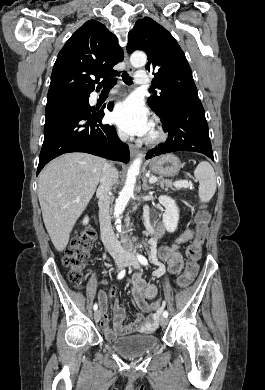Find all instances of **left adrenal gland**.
Returning <instances> with one entry per match:
<instances>
[{"label":"left adrenal gland","instance_id":"obj_1","mask_svg":"<svg viewBox=\"0 0 265 390\" xmlns=\"http://www.w3.org/2000/svg\"><path fill=\"white\" fill-rule=\"evenodd\" d=\"M152 188H153V186H149V185L147 184V178L144 177V179H143V184H142V189H143L144 191H147V190L152 189Z\"/></svg>","mask_w":265,"mask_h":390}]
</instances>
